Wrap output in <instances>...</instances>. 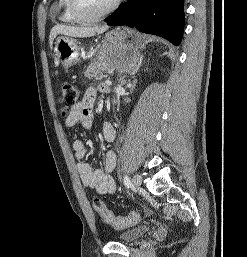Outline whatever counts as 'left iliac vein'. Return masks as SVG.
<instances>
[{"label":"left iliac vein","instance_id":"4c4485c4","mask_svg":"<svg viewBox=\"0 0 247 257\" xmlns=\"http://www.w3.org/2000/svg\"><path fill=\"white\" fill-rule=\"evenodd\" d=\"M132 183L135 189H139L142 184L141 177L139 175H134L132 178Z\"/></svg>","mask_w":247,"mask_h":257}]
</instances>
